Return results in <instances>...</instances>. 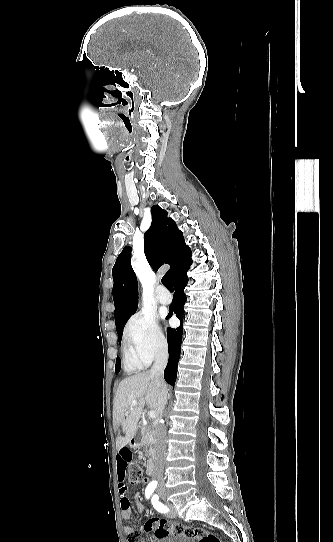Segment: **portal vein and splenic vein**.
<instances>
[{
  "mask_svg": "<svg viewBox=\"0 0 333 542\" xmlns=\"http://www.w3.org/2000/svg\"><path fill=\"white\" fill-rule=\"evenodd\" d=\"M134 406H138V402H133V404H131V410L134 408ZM148 416L149 418H156V412H148Z\"/></svg>",
  "mask_w": 333,
  "mask_h": 542,
  "instance_id": "obj_1",
  "label": "portal vein and splenic vein"
}]
</instances>
